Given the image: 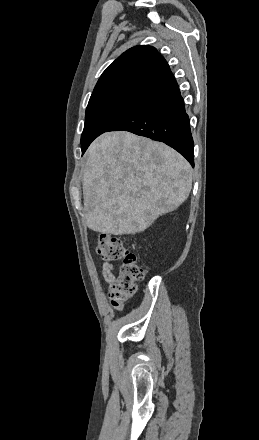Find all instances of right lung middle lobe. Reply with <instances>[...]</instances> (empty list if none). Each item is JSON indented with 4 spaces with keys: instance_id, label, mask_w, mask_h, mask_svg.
<instances>
[{
    "instance_id": "obj_1",
    "label": "right lung middle lobe",
    "mask_w": 259,
    "mask_h": 440,
    "mask_svg": "<svg viewBox=\"0 0 259 440\" xmlns=\"http://www.w3.org/2000/svg\"><path fill=\"white\" fill-rule=\"evenodd\" d=\"M146 93L141 90H123L90 99L81 135L82 150L133 109Z\"/></svg>"
}]
</instances>
